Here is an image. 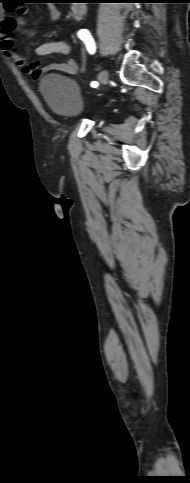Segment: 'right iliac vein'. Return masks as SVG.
Returning <instances> with one entry per match:
<instances>
[{
    "label": "right iliac vein",
    "instance_id": "63e3f726",
    "mask_svg": "<svg viewBox=\"0 0 190 483\" xmlns=\"http://www.w3.org/2000/svg\"><path fill=\"white\" fill-rule=\"evenodd\" d=\"M98 81L102 85H104L107 82V72L105 70L100 72L98 76Z\"/></svg>",
    "mask_w": 190,
    "mask_h": 483
}]
</instances>
